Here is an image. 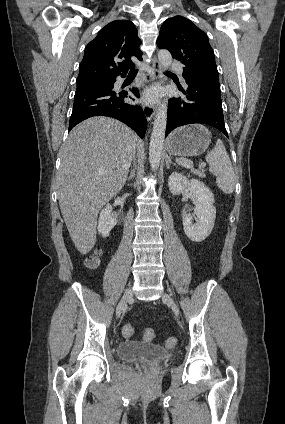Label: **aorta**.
Wrapping results in <instances>:
<instances>
[{
	"instance_id": "762f6f07",
	"label": "aorta",
	"mask_w": 285,
	"mask_h": 424,
	"mask_svg": "<svg viewBox=\"0 0 285 424\" xmlns=\"http://www.w3.org/2000/svg\"><path fill=\"white\" fill-rule=\"evenodd\" d=\"M159 64L163 69H167L172 63V55L168 50L162 49L158 52ZM167 124V104L163 102L155 115L153 130L149 145V162L153 171L159 168L164 136Z\"/></svg>"
}]
</instances>
